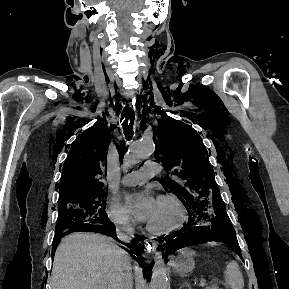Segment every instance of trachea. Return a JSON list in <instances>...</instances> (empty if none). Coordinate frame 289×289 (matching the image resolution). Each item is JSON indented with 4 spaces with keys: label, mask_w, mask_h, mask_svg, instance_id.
I'll return each instance as SVG.
<instances>
[{
    "label": "trachea",
    "mask_w": 289,
    "mask_h": 289,
    "mask_svg": "<svg viewBox=\"0 0 289 289\" xmlns=\"http://www.w3.org/2000/svg\"><path fill=\"white\" fill-rule=\"evenodd\" d=\"M123 118H125L124 122L122 123L124 135H125L127 140H131V138L133 136V123H134V119H135L134 110L127 106L124 109Z\"/></svg>",
    "instance_id": "obj_1"
}]
</instances>
